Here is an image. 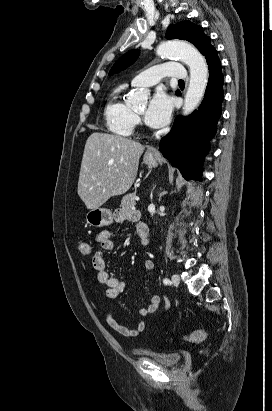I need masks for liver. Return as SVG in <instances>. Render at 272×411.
<instances>
[{
  "label": "liver",
  "instance_id": "liver-1",
  "mask_svg": "<svg viewBox=\"0 0 272 411\" xmlns=\"http://www.w3.org/2000/svg\"><path fill=\"white\" fill-rule=\"evenodd\" d=\"M143 151L142 144L122 136L94 132L88 137L77 190L87 209L130 189Z\"/></svg>",
  "mask_w": 272,
  "mask_h": 411
}]
</instances>
